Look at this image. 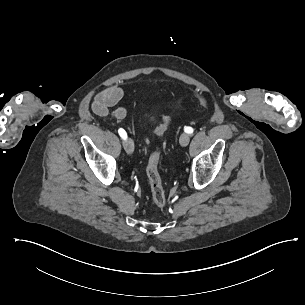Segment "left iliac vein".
<instances>
[{
	"mask_svg": "<svg viewBox=\"0 0 305 305\" xmlns=\"http://www.w3.org/2000/svg\"><path fill=\"white\" fill-rule=\"evenodd\" d=\"M179 141L182 146H187L190 141V136L187 133H182Z\"/></svg>",
	"mask_w": 305,
	"mask_h": 305,
	"instance_id": "left-iliac-vein-1",
	"label": "left iliac vein"
}]
</instances>
